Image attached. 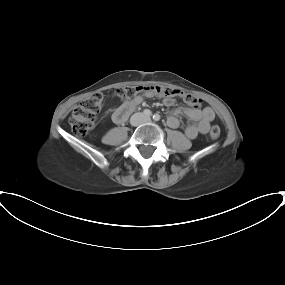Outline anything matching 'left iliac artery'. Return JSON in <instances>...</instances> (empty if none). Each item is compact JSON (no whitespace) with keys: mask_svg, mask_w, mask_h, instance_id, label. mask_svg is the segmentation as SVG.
I'll return each mask as SVG.
<instances>
[{"mask_svg":"<svg viewBox=\"0 0 285 285\" xmlns=\"http://www.w3.org/2000/svg\"><path fill=\"white\" fill-rule=\"evenodd\" d=\"M153 119H154L155 121H159V120H160V115L154 114V115H153Z\"/></svg>","mask_w":285,"mask_h":285,"instance_id":"44dca946","label":"left iliac artery"}]
</instances>
